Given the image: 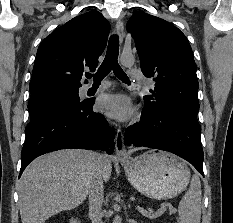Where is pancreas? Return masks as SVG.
I'll list each match as a JSON object with an SVG mask.
<instances>
[{
	"instance_id": "obj_1",
	"label": "pancreas",
	"mask_w": 233,
	"mask_h": 223,
	"mask_svg": "<svg viewBox=\"0 0 233 223\" xmlns=\"http://www.w3.org/2000/svg\"><path fill=\"white\" fill-rule=\"evenodd\" d=\"M170 209H171L172 213H175V211H177L176 207H170ZM158 211H162V213H163V211H165V209H163V207H161V209H158ZM151 219H153V217H151Z\"/></svg>"
}]
</instances>
